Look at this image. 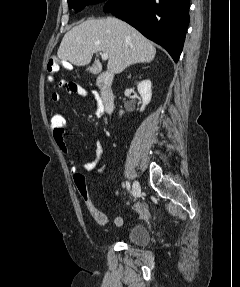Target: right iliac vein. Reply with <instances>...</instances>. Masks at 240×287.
<instances>
[{
	"label": "right iliac vein",
	"mask_w": 240,
	"mask_h": 287,
	"mask_svg": "<svg viewBox=\"0 0 240 287\" xmlns=\"http://www.w3.org/2000/svg\"><path fill=\"white\" fill-rule=\"evenodd\" d=\"M132 194L134 198H137L141 194V187L138 181H134L133 186H132Z\"/></svg>",
	"instance_id": "63e3f726"
}]
</instances>
